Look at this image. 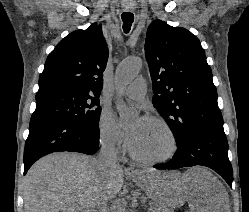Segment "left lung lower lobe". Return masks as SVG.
Returning <instances> with one entry per match:
<instances>
[{"instance_id": "obj_1", "label": "left lung lower lobe", "mask_w": 249, "mask_h": 212, "mask_svg": "<svg viewBox=\"0 0 249 212\" xmlns=\"http://www.w3.org/2000/svg\"><path fill=\"white\" fill-rule=\"evenodd\" d=\"M177 146L173 159L154 167L177 169L195 165L206 166L216 171L230 186L232 185L233 170L228 159V142L223 124L190 129Z\"/></svg>"}]
</instances>
